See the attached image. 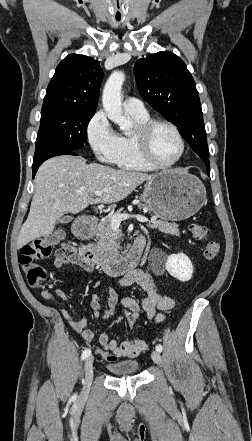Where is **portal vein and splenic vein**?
Masks as SVG:
<instances>
[{"instance_id":"portal-vein-and-splenic-vein-1","label":"portal vein and splenic vein","mask_w":252,"mask_h":441,"mask_svg":"<svg viewBox=\"0 0 252 441\" xmlns=\"http://www.w3.org/2000/svg\"><path fill=\"white\" fill-rule=\"evenodd\" d=\"M103 194L102 190L99 191H95L94 195L95 196H101ZM129 218H136L139 222H147L148 218L144 217V216H140V215H129V214H114L111 216V225L112 226H119L120 223L124 220H127Z\"/></svg>"}]
</instances>
